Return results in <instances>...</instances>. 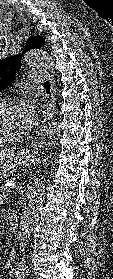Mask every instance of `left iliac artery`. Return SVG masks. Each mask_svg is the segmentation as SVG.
Segmentation results:
<instances>
[{"label": "left iliac artery", "mask_w": 113, "mask_h": 279, "mask_svg": "<svg viewBox=\"0 0 113 279\" xmlns=\"http://www.w3.org/2000/svg\"><path fill=\"white\" fill-rule=\"evenodd\" d=\"M15 276L17 279H23L24 278V274L22 272L16 271L15 272Z\"/></svg>", "instance_id": "44dca946"}]
</instances>
